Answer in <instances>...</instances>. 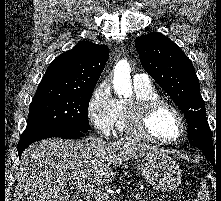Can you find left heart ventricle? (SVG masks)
<instances>
[{"instance_id":"left-heart-ventricle-1","label":"left heart ventricle","mask_w":221,"mask_h":201,"mask_svg":"<svg viewBox=\"0 0 221 201\" xmlns=\"http://www.w3.org/2000/svg\"><path fill=\"white\" fill-rule=\"evenodd\" d=\"M149 131L160 139H174L181 132L180 123L175 114L168 109L158 110L148 123Z\"/></svg>"}]
</instances>
